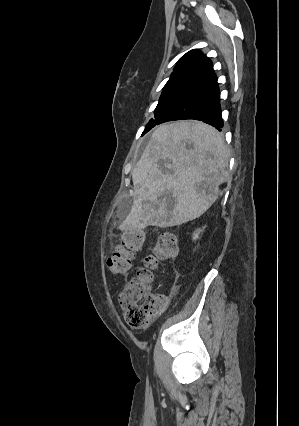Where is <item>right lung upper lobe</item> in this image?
Masks as SVG:
<instances>
[{
    "label": "right lung upper lobe",
    "instance_id": "1",
    "mask_svg": "<svg viewBox=\"0 0 299 426\" xmlns=\"http://www.w3.org/2000/svg\"><path fill=\"white\" fill-rule=\"evenodd\" d=\"M216 79L211 61L199 50L194 49L180 58L166 85L180 84L198 87Z\"/></svg>",
    "mask_w": 299,
    "mask_h": 426
}]
</instances>
